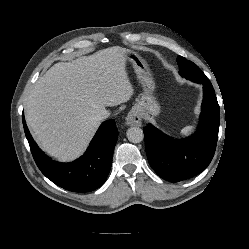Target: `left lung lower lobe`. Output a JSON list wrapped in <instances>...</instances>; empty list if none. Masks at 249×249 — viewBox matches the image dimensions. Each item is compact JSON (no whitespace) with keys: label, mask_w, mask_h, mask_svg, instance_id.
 <instances>
[{"label":"left lung lower lobe","mask_w":249,"mask_h":249,"mask_svg":"<svg viewBox=\"0 0 249 249\" xmlns=\"http://www.w3.org/2000/svg\"><path fill=\"white\" fill-rule=\"evenodd\" d=\"M189 80L203 84L197 131L179 140L167 136L151 124L143 129L149 164L161 178L170 182L189 179L207 168L218 139L220 111L214 88L204 73Z\"/></svg>","instance_id":"0a47b994"}]
</instances>
